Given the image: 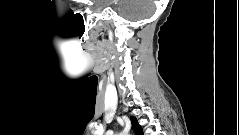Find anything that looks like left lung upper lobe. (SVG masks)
<instances>
[{"instance_id":"1","label":"left lung upper lobe","mask_w":239,"mask_h":135,"mask_svg":"<svg viewBox=\"0 0 239 135\" xmlns=\"http://www.w3.org/2000/svg\"><path fill=\"white\" fill-rule=\"evenodd\" d=\"M131 123H132V129L134 130V132L138 135H143V131L141 126L138 124L137 120L135 117H131Z\"/></svg>"}]
</instances>
